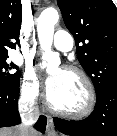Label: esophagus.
I'll return each mask as SVG.
<instances>
[{"mask_svg": "<svg viewBox=\"0 0 117 136\" xmlns=\"http://www.w3.org/2000/svg\"><path fill=\"white\" fill-rule=\"evenodd\" d=\"M46 133L48 136H55L56 135L53 118L49 115L47 116Z\"/></svg>", "mask_w": 117, "mask_h": 136, "instance_id": "obj_1", "label": "esophagus"}]
</instances>
